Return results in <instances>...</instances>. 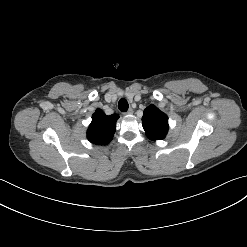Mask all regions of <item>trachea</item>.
Returning a JSON list of instances; mask_svg holds the SVG:
<instances>
[{"label": "trachea", "instance_id": "1", "mask_svg": "<svg viewBox=\"0 0 247 247\" xmlns=\"http://www.w3.org/2000/svg\"><path fill=\"white\" fill-rule=\"evenodd\" d=\"M128 102L125 98H121L118 102V108L121 112H126L128 110Z\"/></svg>", "mask_w": 247, "mask_h": 247}]
</instances>
